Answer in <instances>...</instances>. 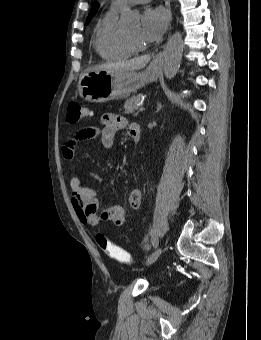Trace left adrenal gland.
Wrapping results in <instances>:
<instances>
[{"mask_svg":"<svg viewBox=\"0 0 261 340\" xmlns=\"http://www.w3.org/2000/svg\"><path fill=\"white\" fill-rule=\"evenodd\" d=\"M163 106L161 105V103H157V111H159Z\"/></svg>","mask_w":261,"mask_h":340,"instance_id":"obj_1","label":"left adrenal gland"}]
</instances>
